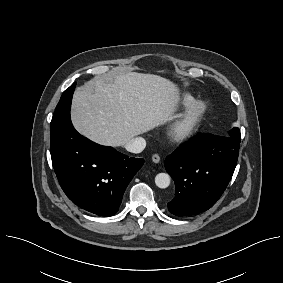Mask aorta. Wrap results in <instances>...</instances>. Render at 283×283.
<instances>
[{
	"mask_svg": "<svg viewBox=\"0 0 283 283\" xmlns=\"http://www.w3.org/2000/svg\"><path fill=\"white\" fill-rule=\"evenodd\" d=\"M171 178L167 173H159L155 177V184L159 188H167L170 185Z\"/></svg>",
	"mask_w": 283,
	"mask_h": 283,
	"instance_id": "obj_1",
	"label": "aorta"
}]
</instances>
